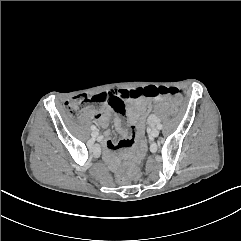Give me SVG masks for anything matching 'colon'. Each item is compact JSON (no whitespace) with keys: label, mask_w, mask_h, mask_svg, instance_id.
<instances>
[{"label":"colon","mask_w":241,"mask_h":241,"mask_svg":"<svg viewBox=\"0 0 241 241\" xmlns=\"http://www.w3.org/2000/svg\"><path fill=\"white\" fill-rule=\"evenodd\" d=\"M145 88L150 90L149 98L157 97L160 95L178 96L180 94L179 90L176 88L156 86H148ZM139 90L140 89L137 90L136 88H127L125 90H110L108 93H101L93 96L81 94L67 101L65 104V110L71 117H78L80 113L87 107H97L102 104H108L111 105L118 114H123L125 100L139 97ZM165 102L170 103L171 99L166 98ZM170 110L174 114H179L181 112V107L176 104H171ZM119 179L122 180L123 177L120 175Z\"/></svg>","instance_id":"1"}]
</instances>
